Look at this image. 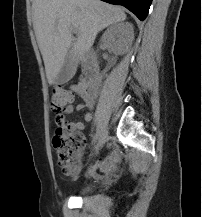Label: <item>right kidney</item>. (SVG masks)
Here are the masks:
<instances>
[{"instance_id": "obj_1", "label": "right kidney", "mask_w": 202, "mask_h": 217, "mask_svg": "<svg viewBox=\"0 0 202 217\" xmlns=\"http://www.w3.org/2000/svg\"><path fill=\"white\" fill-rule=\"evenodd\" d=\"M133 39V26L126 22L111 25L102 35L101 42L109 45L115 55H122L128 51Z\"/></svg>"}]
</instances>
